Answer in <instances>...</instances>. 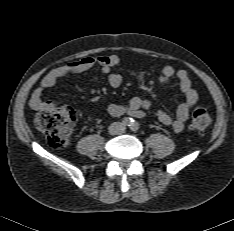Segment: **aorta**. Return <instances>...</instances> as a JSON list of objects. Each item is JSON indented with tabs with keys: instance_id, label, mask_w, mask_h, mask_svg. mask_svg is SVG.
I'll use <instances>...</instances> for the list:
<instances>
[{
	"instance_id": "762f6f07",
	"label": "aorta",
	"mask_w": 234,
	"mask_h": 231,
	"mask_svg": "<svg viewBox=\"0 0 234 231\" xmlns=\"http://www.w3.org/2000/svg\"><path fill=\"white\" fill-rule=\"evenodd\" d=\"M132 126H136V127H137V125H136V124H133Z\"/></svg>"
}]
</instances>
